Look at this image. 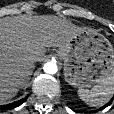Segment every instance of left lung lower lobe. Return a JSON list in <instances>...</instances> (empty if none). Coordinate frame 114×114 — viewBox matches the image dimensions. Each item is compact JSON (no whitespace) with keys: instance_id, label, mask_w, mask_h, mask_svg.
<instances>
[{"instance_id":"1","label":"left lung lower lobe","mask_w":114,"mask_h":114,"mask_svg":"<svg viewBox=\"0 0 114 114\" xmlns=\"http://www.w3.org/2000/svg\"><path fill=\"white\" fill-rule=\"evenodd\" d=\"M113 99H114V97H113L106 105H104L103 107H101V108L98 109V110H102V109H104L105 107L109 106V105L112 103Z\"/></svg>"}]
</instances>
